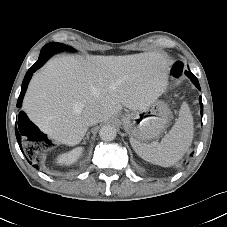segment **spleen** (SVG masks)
<instances>
[{"mask_svg": "<svg viewBox=\"0 0 227 227\" xmlns=\"http://www.w3.org/2000/svg\"><path fill=\"white\" fill-rule=\"evenodd\" d=\"M194 134L193 117L189 106L183 102L179 117L160 143L146 144L130 138L134 151L145 161L169 167L178 162L189 149Z\"/></svg>", "mask_w": 227, "mask_h": 227, "instance_id": "obj_1", "label": "spleen"}]
</instances>
